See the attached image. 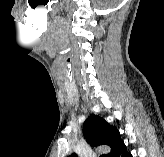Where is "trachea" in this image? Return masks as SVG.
<instances>
[{"label": "trachea", "mask_w": 164, "mask_h": 157, "mask_svg": "<svg viewBox=\"0 0 164 157\" xmlns=\"http://www.w3.org/2000/svg\"><path fill=\"white\" fill-rule=\"evenodd\" d=\"M100 157H106V155H101Z\"/></svg>", "instance_id": "obj_1"}]
</instances>
